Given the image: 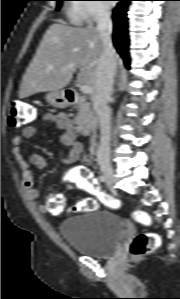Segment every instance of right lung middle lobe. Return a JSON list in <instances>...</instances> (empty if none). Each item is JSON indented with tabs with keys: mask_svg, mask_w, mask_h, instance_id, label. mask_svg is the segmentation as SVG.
Returning a JSON list of instances; mask_svg holds the SVG:
<instances>
[{
	"mask_svg": "<svg viewBox=\"0 0 180 299\" xmlns=\"http://www.w3.org/2000/svg\"><path fill=\"white\" fill-rule=\"evenodd\" d=\"M57 1H63V0H57ZM57 9H59V6H57Z\"/></svg>",
	"mask_w": 180,
	"mask_h": 299,
	"instance_id": "1",
	"label": "right lung middle lobe"
}]
</instances>
